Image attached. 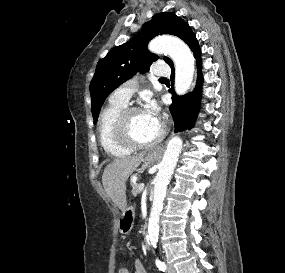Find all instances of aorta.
Segmentation results:
<instances>
[{
    "instance_id": "1",
    "label": "aorta",
    "mask_w": 285,
    "mask_h": 273,
    "mask_svg": "<svg viewBox=\"0 0 285 273\" xmlns=\"http://www.w3.org/2000/svg\"><path fill=\"white\" fill-rule=\"evenodd\" d=\"M148 48L152 53H167L172 58L175 63V91L178 95H184L192 84L195 71L190 48L182 40L170 36L153 39ZM182 144L181 138L177 136L169 141L154 179V196L148 225L149 239L154 248L158 242L159 218L167 186L176 167Z\"/></svg>"
}]
</instances>
